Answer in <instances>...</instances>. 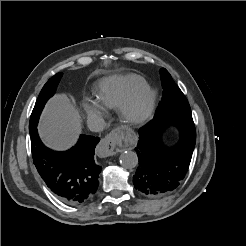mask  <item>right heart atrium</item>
Masks as SVG:
<instances>
[{"label": "right heart atrium", "mask_w": 246, "mask_h": 246, "mask_svg": "<svg viewBox=\"0 0 246 246\" xmlns=\"http://www.w3.org/2000/svg\"><path fill=\"white\" fill-rule=\"evenodd\" d=\"M81 108L86 118L91 122L100 121L106 115L104 107L91 98H85L81 103Z\"/></svg>", "instance_id": "1"}]
</instances>
